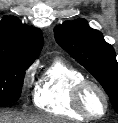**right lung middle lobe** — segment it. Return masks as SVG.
<instances>
[{
    "label": "right lung middle lobe",
    "instance_id": "obj_1",
    "mask_svg": "<svg viewBox=\"0 0 118 123\" xmlns=\"http://www.w3.org/2000/svg\"><path fill=\"white\" fill-rule=\"evenodd\" d=\"M28 67L17 61L0 58V104L14 103L20 98Z\"/></svg>",
    "mask_w": 118,
    "mask_h": 123
}]
</instances>
